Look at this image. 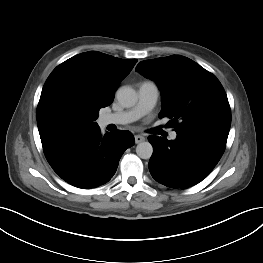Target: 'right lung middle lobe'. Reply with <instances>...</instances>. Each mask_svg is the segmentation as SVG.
Returning <instances> with one entry per match:
<instances>
[{
    "label": "right lung middle lobe",
    "instance_id": "right-lung-middle-lobe-1",
    "mask_svg": "<svg viewBox=\"0 0 263 263\" xmlns=\"http://www.w3.org/2000/svg\"><path fill=\"white\" fill-rule=\"evenodd\" d=\"M103 106L80 90L58 87L37 108L41 138L80 132L98 127L95 120Z\"/></svg>",
    "mask_w": 263,
    "mask_h": 263
}]
</instances>
